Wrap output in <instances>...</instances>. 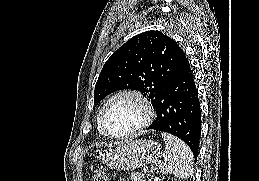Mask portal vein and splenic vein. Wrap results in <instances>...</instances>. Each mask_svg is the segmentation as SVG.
Segmentation results:
<instances>
[{
	"label": "portal vein and splenic vein",
	"instance_id": "obj_1",
	"mask_svg": "<svg viewBox=\"0 0 259 181\" xmlns=\"http://www.w3.org/2000/svg\"><path fill=\"white\" fill-rule=\"evenodd\" d=\"M143 171L146 173L148 171L147 167H144Z\"/></svg>",
	"mask_w": 259,
	"mask_h": 181
}]
</instances>
